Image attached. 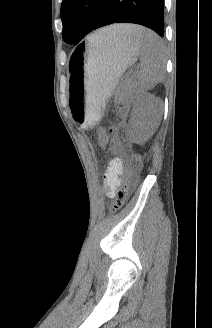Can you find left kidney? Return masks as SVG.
I'll use <instances>...</instances> for the list:
<instances>
[{
    "label": "left kidney",
    "mask_w": 212,
    "mask_h": 328,
    "mask_svg": "<svg viewBox=\"0 0 212 328\" xmlns=\"http://www.w3.org/2000/svg\"><path fill=\"white\" fill-rule=\"evenodd\" d=\"M162 102L149 93L141 94L133 104L130 117V134L135 142L148 140L159 125Z\"/></svg>",
    "instance_id": "left-kidney-1"
}]
</instances>
